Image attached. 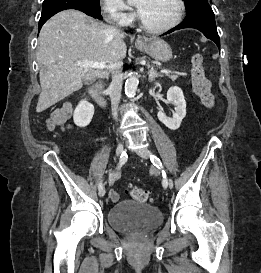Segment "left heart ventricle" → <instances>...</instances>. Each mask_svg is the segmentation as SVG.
<instances>
[{"instance_id":"left-heart-ventricle-1","label":"left heart ventricle","mask_w":261,"mask_h":273,"mask_svg":"<svg viewBox=\"0 0 261 273\" xmlns=\"http://www.w3.org/2000/svg\"><path fill=\"white\" fill-rule=\"evenodd\" d=\"M135 6L141 18L152 27L171 23L178 12L176 0H136Z\"/></svg>"}]
</instances>
